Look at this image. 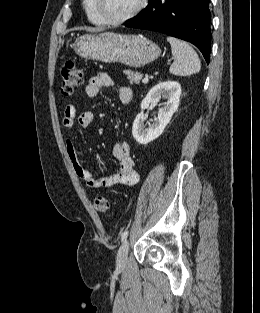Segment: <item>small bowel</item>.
Returning <instances> with one entry per match:
<instances>
[{
  "label": "small bowel",
  "mask_w": 260,
  "mask_h": 313,
  "mask_svg": "<svg viewBox=\"0 0 260 313\" xmlns=\"http://www.w3.org/2000/svg\"><path fill=\"white\" fill-rule=\"evenodd\" d=\"M114 86V81L107 73H99L91 77L86 86V94L90 98H97L104 87ZM120 101L128 104L132 101L133 92L127 86L118 89ZM76 119V108L68 105L64 110L63 125L70 129L74 126ZM94 114L92 111H85L78 117L81 127L88 128L92 125ZM66 153L71 163L74 173L91 189H101L115 185H134L139 180V174L135 170V163L131 156L130 146L126 142H117L112 148L113 156L119 162L118 171L112 175H94L87 171L80 163L75 142L68 138L65 143Z\"/></svg>",
  "instance_id": "small-bowel-1"
}]
</instances>
